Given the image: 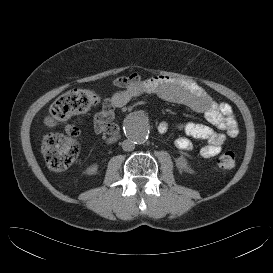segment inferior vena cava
I'll return each mask as SVG.
<instances>
[{"instance_id":"inferior-vena-cava-1","label":"inferior vena cava","mask_w":273,"mask_h":273,"mask_svg":"<svg viewBox=\"0 0 273 273\" xmlns=\"http://www.w3.org/2000/svg\"><path fill=\"white\" fill-rule=\"evenodd\" d=\"M122 148L124 151H132L135 148V145L130 140H124L122 142Z\"/></svg>"}]
</instances>
